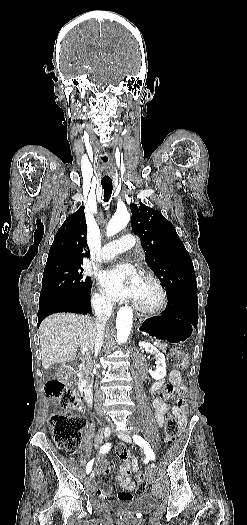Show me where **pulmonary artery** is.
<instances>
[{
  "label": "pulmonary artery",
  "instance_id": "1",
  "mask_svg": "<svg viewBox=\"0 0 247 525\" xmlns=\"http://www.w3.org/2000/svg\"><path fill=\"white\" fill-rule=\"evenodd\" d=\"M139 243L137 236L131 233H126L120 236L117 240H114L102 247L98 254L101 257H97V260H104L105 263L110 264L114 258L120 256L121 252L132 249Z\"/></svg>",
  "mask_w": 247,
  "mask_h": 525
}]
</instances>
